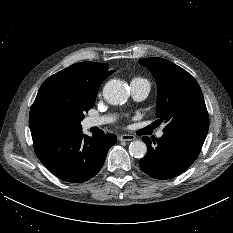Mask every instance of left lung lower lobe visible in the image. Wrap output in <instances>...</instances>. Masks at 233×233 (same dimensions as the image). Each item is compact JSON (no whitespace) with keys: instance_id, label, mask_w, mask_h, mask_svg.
Instances as JSON below:
<instances>
[{"instance_id":"1","label":"left lung lower lobe","mask_w":233,"mask_h":233,"mask_svg":"<svg viewBox=\"0 0 233 233\" xmlns=\"http://www.w3.org/2000/svg\"><path fill=\"white\" fill-rule=\"evenodd\" d=\"M207 134L193 131L169 132L156 141L148 137L147 154L140 167L149 176L164 180L176 177L187 170L197 158Z\"/></svg>"}]
</instances>
